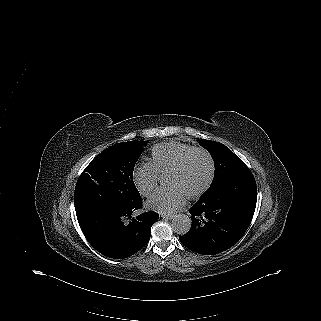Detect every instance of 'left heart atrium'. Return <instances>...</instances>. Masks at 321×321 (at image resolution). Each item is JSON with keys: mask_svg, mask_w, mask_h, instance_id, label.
<instances>
[{"mask_svg": "<svg viewBox=\"0 0 321 321\" xmlns=\"http://www.w3.org/2000/svg\"><path fill=\"white\" fill-rule=\"evenodd\" d=\"M185 194L181 190L175 191L170 189H160L151 197V206L168 214H173L179 210L184 204Z\"/></svg>", "mask_w": 321, "mask_h": 321, "instance_id": "obj_1", "label": "left heart atrium"}]
</instances>
